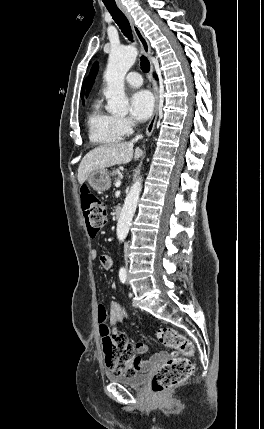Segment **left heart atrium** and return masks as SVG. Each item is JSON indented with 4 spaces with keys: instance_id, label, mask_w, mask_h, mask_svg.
Returning <instances> with one entry per match:
<instances>
[{
    "instance_id": "left-heart-atrium-1",
    "label": "left heart atrium",
    "mask_w": 264,
    "mask_h": 429,
    "mask_svg": "<svg viewBox=\"0 0 264 429\" xmlns=\"http://www.w3.org/2000/svg\"><path fill=\"white\" fill-rule=\"evenodd\" d=\"M154 109V99L150 92L140 90L130 99V114L137 121H144L150 117Z\"/></svg>"
}]
</instances>
